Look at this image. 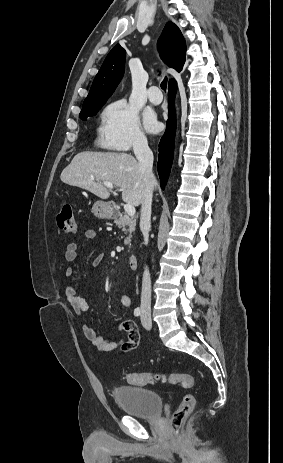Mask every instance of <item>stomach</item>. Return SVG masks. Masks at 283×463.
<instances>
[{
  "label": "stomach",
  "instance_id": "obj_1",
  "mask_svg": "<svg viewBox=\"0 0 283 463\" xmlns=\"http://www.w3.org/2000/svg\"><path fill=\"white\" fill-rule=\"evenodd\" d=\"M92 213L99 219H110L114 214V208L110 202L96 201L93 204Z\"/></svg>",
  "mask_w": 283,
  "mask_h": 463
}]
</instances>
